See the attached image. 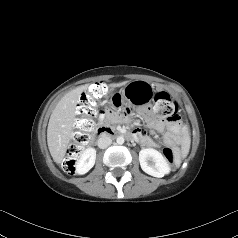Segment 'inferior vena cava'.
Masks as SVG:
<instances>
[{
  "label": "inferior vena cava",
  "instance_id": "inferior-vena-cava-1",
  "mask_svg": "<svg viewBox=\"0 0 238 238\" xmlns=\"http://www.w3.org/2000/svg\"><path fill=\"white\" fill-rule=\"evenodd\" d=\"M111 143H112V140L107 135H102L98 139V147L101 148V149L107 148L109 145H111Z\"/></svg>",
  "mask_w": 238,
  "mask_h": 238
}]
</instances>
